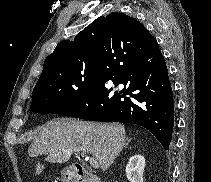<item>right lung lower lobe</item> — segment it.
I'll return each instance as SVG.
<instances>
[{
	"label": "right lung lower lobe",
	"instance_id": "right-lung-lower-lobe-1",
	"mask_svg": "<svg viewBox=\"0 0 211 182\" xmlns=\"http://www.w3.org/2000/svg\"><path fill=\"white\" fill-rule=\"evenodd\" d=\"M97 77L85 96L63 115L90 121L132 123L148 129L169 148L174 104L168 70L154 37L142 42L104 41ZM123 84L114 91L106 85Z\"/></svg>",
	"mask_w": 211,
	"mask_h": 182
}]
</instances>
